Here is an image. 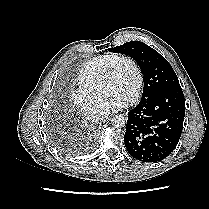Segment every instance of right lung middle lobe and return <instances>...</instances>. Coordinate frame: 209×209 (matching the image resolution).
Segmentation results:
<instances>
[{"instance_id": "dd1d6c3e", "label": "right lung middle lobe", "mask_w": 209, "mask_h": 209, "mask_svg": "<svg viewBox=\"0 0 209 209\" xmlns=\"http://www.w3.org/2000/svg\"><path fill=\"white\" fill-rule=\"evenodd\" d=\"M54 144L68 154H78L82 153L84 151V147L75 146L74 144H69L67 139H65L62 135H56L53 138Z\"/></svg>"}]
</instances>
